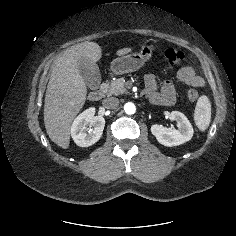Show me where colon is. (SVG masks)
Returning a JSON list of instances; mask_svg holds the SVG:
<instances>
[{
  "label": "colon",
  "mask_w": 236,
  "mask_h": 236,
  "mask_svg": "<svg viewBox=\"0 0 236 236\" xmlns=\"http://www.w3.org/2000/svg\"><path fill=\"white\" fill-rule=\"evenodd\" d=\"M165 59L170 65H178L183 61L184 54L178 49L168 48L165 51ZM188 97L191 101H195L198 99L199 94L195 89H190L188 91Z\"/></svg>",
  "instance_id": "obj_1"
}]
</instances>
